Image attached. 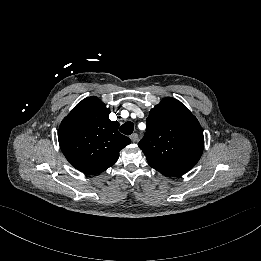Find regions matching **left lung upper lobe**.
<instances>
[{
    "label": "left lung upper lobe",
    "mask_w": 261,
    "mask_h": 261,
    "mask_svg": "<svg viewBox=\"0 0 261 261\" xmlns=\"http://www.w3.org/2000/svg\"><path fill=\"white\" fill-rule=\"evenodd\" d=\"M146 133L139 142L148 164L165 176H180L200 159L203 130L178 100L166 97L149 112Z\"/></svg>",
    "instance_id": "left-lung-upper-lobe-1"
}]
</instances>
